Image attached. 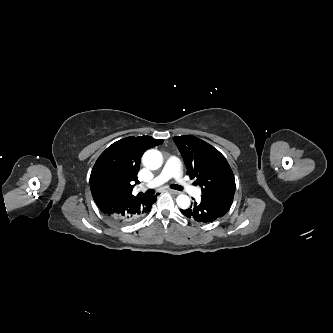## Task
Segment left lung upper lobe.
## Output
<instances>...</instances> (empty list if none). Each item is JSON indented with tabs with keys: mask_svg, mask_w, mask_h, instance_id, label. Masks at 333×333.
Segmentation results:
<instances>
[{
	"mask_svg": "<svg viewBox=\"0 0 333 333\" xmlns=\"http://www.w3.org/2000/svg\"><path fill=\"white\" fill-rule=\"evenodd\" d=\"M191 179L201 186L202 197L232 205L235 179L225 157L205 141L189 135L173 138Z\"/></svg>",
	"mask_w": 333,
	"mask_h": 333,
	"instance_id": "1",
	"label": "left lung upper lobe"
}]
</instances>
